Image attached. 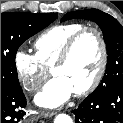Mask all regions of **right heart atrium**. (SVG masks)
Returning <instances> with one entry per match:
<instances>
[{
  "label": "right heart atrium",
  "mask_w": 123,
  "mask_h": 123,
  "mask_svg": "<svg viewBox=\"0 0 123 123\" xmlns=\"http://www.w3.org/2000/svg\"><path fill=\"white\" fill-rule=\"evenodd\" d=\"M14 68L22 86L29 92L36 91L49 74L36 55L23 49L14 54Z\"/></svg>",
  "instance_id": "d8ad5b80"
}]
</instances>
